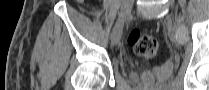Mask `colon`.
Instances as JSON below:
<instances>
[{"label": "colon", "instance_id": "5ec220e1", "mask_svg": "<svg viewBox=\"0 0 209 90\" xmlns=\"http://www.w3.org/2000/svg\"><path fill=\"white\" fill-rule=\"evenodd\" d=\"M128 44L134 49L135 53L143 58H154L159 50L157 40L138 29H133L128 34Z\"/></svg>", "mask_w": 209, "mask_h": 90}]
</instances>
